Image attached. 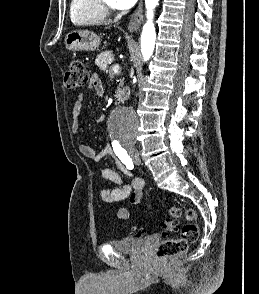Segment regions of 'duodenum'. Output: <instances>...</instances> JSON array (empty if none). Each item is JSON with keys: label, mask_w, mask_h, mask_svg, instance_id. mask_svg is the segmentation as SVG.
<instances>
[{"label": "duodenum", "mask_w": 259, "mask_h": 294, "mask_svg": "<svg viewBox=\"0 0 259 294\" xmlns=\"http://www.w3.org/2000/svg\"><path fill=\"white\" fill-rule=\"evenodd\" d=\"M128 94H129L128 88L126 87L123 88L117 97L118 104H121L124 101V99L128 96Z\"/></svg>", "instance_id": "obj_1"}]
</instances>
